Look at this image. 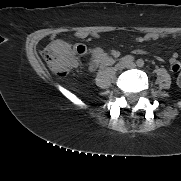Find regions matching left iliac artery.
Segmentation results:
<instances>
[{"label":"left iliac artery","instance_id":"44dca946","mask_svg":"<svg viewBox=\"0 0 181 181\" xmlns=\"http://www.w3.org/2000/svg\"><path fill=\"white\" fill-rule=\"evenodd\" d=\"M136 63H137V65L139 67H143L144 66V61L142 59H138Z\"/></svg>","mask_w":181,"mask_h":181}]
</instances>
